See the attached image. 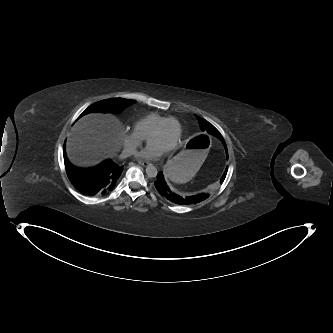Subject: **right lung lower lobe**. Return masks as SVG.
Masks as SVG:
<instances>
[{"instance_id":"98d812e1","label":"right lung lower lobe","mask_w":333,"mask_h":333,"mask_svg":"<svg viewBox=\"0 0 333 333\" xmlns=\"http://www.w3.org/2000/svg\"><path fill=\"white\" fill-rule=\"evenodd\" d=\"M64 163L71 183L79 192L87 196L109 193L116 186L123 171V166H119L110 159L92 168L75 167L68 161L65 151Z\"/></svg>"}]
</instances>
